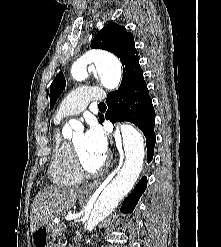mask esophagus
I'll list each match as a JSON object with an SVG mask.
<instances>
[{
	"mask_svg": "<svg viewBox=\"0 0 221 247\" xmlns=\"http://www.w3.org/2000/svg\"><path fill=\"white\" fill-rule=\"evenodd\" d=\"M99 184V180H94L92 183L85 185L82 189V193H88L91 192L95 187H97Z\"/></svg>",
	"mask_w": 221,
	"mask_h": 247,
	"instance_id": "34e87169",
	"label": "esophagus"
}]
</instances>
